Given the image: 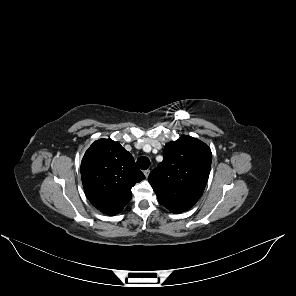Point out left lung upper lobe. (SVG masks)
<instances>
[{
  "label": "left lung upper lobe",
  "mask_w": 296,
  "mask_h": 296,
  "mask_svg": "<svg viewBox=\"0 0 296 296\" xmlns=\"http://www.w3.org/2000/svg\"><path fill=\"white\" fill-rule=\"evenodd\" d=\"M211 160L210 148L196 138L167 143L163 161L148 177L159 202L176 214L190 209L205 189Z\"/></svg>",
  "instance_id": "obj_1"
}]
</instances>
